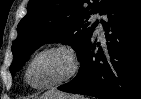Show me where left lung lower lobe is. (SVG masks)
Masks as SVG:
<instances>
[{
    "label": "left lung lower lobe",
    "mask_w": 141,
    "mask_h": 99,
    "mask_svg": "<svg viewBox=\"0 0 141 99\" xmlns=\"http://www.w3.org/2000/svg\"><path fill=\"white\" fill-rule=\"evenodd\" d=\"M104 14L107 50L91 41L77 76L58 89L100 99H141V0H116Z\"/></svg>",
    "instance_id": "obj_1"
}]
</instances>
